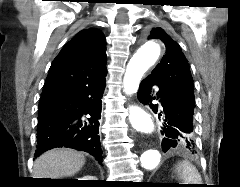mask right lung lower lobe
<instances>
[{
    "instance_id": "1",
    "label": "right lung lower lobe",
    "mask_w": 240,
    "mask_h": 187,
    "mask_svg": "<svg viewBox=\"0 0 240 187\" xmlns=\"http://www.w3.org/2000/svg\"><path fill=\"white\" fill-rule=\"evenodd\" d=\"M105 76L41 96L35 157L55 147H70L102 164L99 120Z\"/></svg>"
}]
</instances>
